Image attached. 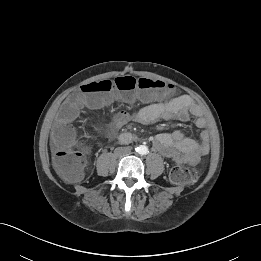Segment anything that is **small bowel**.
Here are the masks:
<instances>
[{"instance_id":"small-bowel-1","label":"small bowel","mask_w":261,"mask_h":261,"mask_svg":"<svg viewBox=\"0 0 261 261\" xmlns=\"http://www.w3.org/2000/svg\"><path fill=\"white\" fill-rule=\"evenodd\" d=\"M110 97L113 96L105 97V102H108ZM161 120L191 121L202 130L198 139L188 136L182 130L156 135L153 143L161 154L176 161L197 164L200 158L209 152L210 136L203 109L187 95L149 103L133 113L119 111L112 116L107 129L111 134H116L130 122L152 125Z\"/></svg>"}]
</instances>
